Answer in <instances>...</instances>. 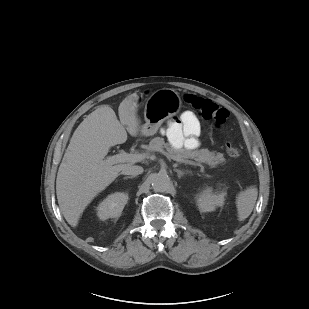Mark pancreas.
<instances>
[{
    "label": "pancreas",
    "mask_w": 309,
    "mask_h": 309,
    "mask_svg": "<svg viewBox=\"0 0 309 309\" xmlns=\"http://www.w3.org/2000/svg\"><path fill=\"white\" fill-rule=\"evenodd\" d=\"M146 148L150 152H162L166 149L167 157L180 163H188V159H194L198 162L206 163L211 167H216L217 165H223L226 162V159L222 153H216L214 151L211 152L208 149H197L193 151L186 149L175 150L171 148L168 143H165L164 139L160 137L153 138Z\"/></svg>",
    "instance_id": "obj_1"
}]
</instances>
